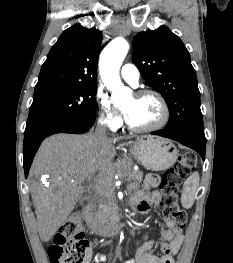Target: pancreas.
<instances>
[{
    "instance_id": "obj_1",
    "label": "pancreas",
    "mask_w": 233,
    "mask_h": 263,
    "mask_svg": "<svg viewBox=\"0 0 233 263\" xmlns=\"http://www.w3.org/2000/svg\"><path fill=\"white\" fill-rule=\"evenodd\" d=\"M143 179V172L133 170L129 174L128 190H136L139 188ZM116 208L115 204L111 201V197L106 195L103 200L98 204L97 210H94L92 219L87 218V222L92 225L101 224L108 225L115 221Z\"/></svg>"
}]
</instances>
